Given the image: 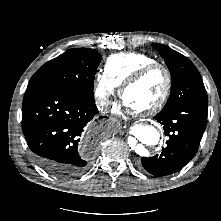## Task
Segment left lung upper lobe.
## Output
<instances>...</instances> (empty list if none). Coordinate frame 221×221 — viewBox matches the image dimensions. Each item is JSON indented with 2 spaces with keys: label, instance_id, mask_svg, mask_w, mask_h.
Listing matches in <instances>:
<instances>
[{
  "label": "left lung upper lobe",
  "instance_id": "1",
  "mask_svg": "<svg viewBox=\"0 0 221 221\" xmlns=\"http://www.w3.org/2000/svg\"><path fill=\"white\" fill-rule=\"evenodd\" d=\"M152 46L164 58L171 74V93L163 109L192 100L208 101L202 77L187 57L163 44L153 43Z\"/></svg>",
  "mask_w": 221,
  "mask_h": 221
}]
</instances>
